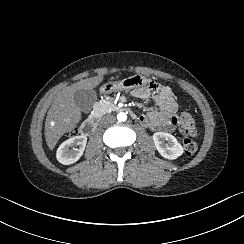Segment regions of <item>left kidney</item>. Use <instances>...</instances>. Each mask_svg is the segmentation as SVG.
<instances>
[{"instance_id": "obj_1", "label": "left kidney", "mask_w": 244, "mask_h": 244, "mask_svg": "<svg viewBox=\"0 0 244 244\" xmlns=\"http://www.w3.org/2000/svg\"><path fill=\"white\" fill-rule=\"evenodd\" d=\"M153 141L158 152L166 159L174 160L183 154V147L169 133L156 132L153 134Z\"/></svg>"}]
</instances>
